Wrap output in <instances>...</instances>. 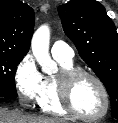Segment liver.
Returning a JSON list of instances; mask_svg holds the SVG:
<instances>
[{
    "mask_svg": "<svg viewBox=\"0 0 118 123\" xmlns=\"http://www.w3.org/2000/svg\"><path fill=\"white\" fill-rule=\"evenodd\" d=\"M0 123H66L62 119L23 114L0 108Z\"/></svg>",
    "mask_w": 118,
    "mask_h": 123,
    "instance_id": "1",
    "label": "liver"
}]
</instances>
